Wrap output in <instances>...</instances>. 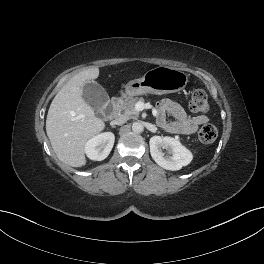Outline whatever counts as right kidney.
Masks as SVG:
<instances>
[{
  "label": "right kidney",
  "instance_id": "1",
  "mask_svg": "<svg viewBox=\"0 0 264 264\" xmlns=\"http://www.w3.org/2000/svg\"><path fill=\"white\" fill-rule=\"evenodd\" d=\"M114 141L112 132L98 134L86 142L85 153L91 160L102 161L110 154Z\"/></svg>",
  "mask_w": 264,
  "mask_h": 264
}]
</instances>
